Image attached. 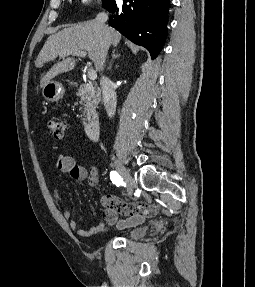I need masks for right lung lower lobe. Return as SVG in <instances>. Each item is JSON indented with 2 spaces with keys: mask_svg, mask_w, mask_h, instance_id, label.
I'll return each instance as SVG.
<instances>
[{
  "mask_svg": "<svg viewBox=\"0 0 255 287\" xmlns=\"http://www.w3.org/2000/svg\"><path fill=\"white\" fill-rule=\"evenodd\" d=\"M169 0H123L109 11V25L135 44L145 47L155 59L167 36Z\"/></svg>",
  "mask_w": 255,
  "mask_h": 287,
  "instance_id": "1",
  "label": "right lung lower lobe"
}]
</instances>
